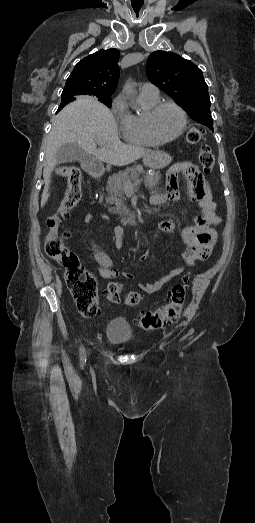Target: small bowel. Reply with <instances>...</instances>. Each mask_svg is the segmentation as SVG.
Wrapping results in <instances>:
<instances>
[{
  "label": "small bowel",
  "instance_id": "1",
  "mask_svg": "<svg viewBox=\"0 0 255 523\" xmlns=\"http://www.w3.org/2000/svg\"><path fill=\"white\" fill-rule=\"evenodd\" d=\"M180 168L187 179L189 196L192 200L198 202L202 215L195 218L194 226L187 227L182 231V240L185 244L182 258L185 266L174 268L153 282L140 283V289L146 294L157 292L169 281L180 275L186 267L194 266L196 261L208 259L217 239L215 226L220 223V217L216 213V203L213 200L208 183L196 165L186 162L180 165ZM178 196L177 184L172 183L167 197L162 195L154 196L151 202L158 205L163 203L166 198L176 199ZM103 217L105 218V216ZM84 221L92 223L93 215H86ZM175 228L176 222L174 220H163L158 224V231L162 232H172ZM123 236L124 228L121 225L116 226L114 228V246L116 249L122 248ZM64 237L66 238L68 235L66 234ZM149 256L150 252L147 250L140 256L139 260H147ZM94 259L98 265L99 275L103 279H110L119 275V272L113 268L111 257L106 252L94 247ZM121 275L127 279L133 278V274L128 271H123Z\"/></svg>",
  "mask_w": 255,
  "mask_h": 523
}]
</instances>
